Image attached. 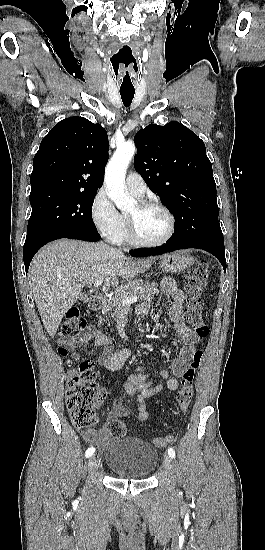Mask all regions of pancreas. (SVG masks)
Masks as SVG:
<instances>
[{
    "label": "pancreas",
    "instance_id": "1",
    "mask_svg": "<svg viewBox=\"0 0 265 550\" xmlns=\"http://www.w3.org/2000/svg\"><path fill=\"white\" fill-rule=\"evenodd\" d=\"M155 282L143 281L141 279L129 282L120 292L110 298L104 305L103 314L106 317H116L124 307L122 301L128 297H137L146 302H151L158 294Z\"/></svg>",
    "mask_w": 265,
    "mask_h": 550
}]
</instances>
